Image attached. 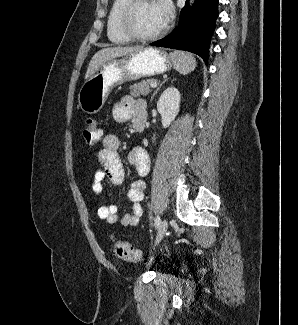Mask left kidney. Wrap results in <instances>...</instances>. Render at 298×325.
<instances>
[{"label": "left kidney", "mask_w": 298, "mask_h": 325, "mask_svg": "<svg viewBox=\"0 0 298 325\" xmlns=\"http://www.w3.org/2000/svg\"><path fill=\"white\" fill-rule=\"evenodd\" d=\"M181 104L180 90L176 86H168L163 90L159 100H157V110L161 114V122L164 128L170 126L175 120Z\"/></svg>", "instance_id": "left-kidney-1"}]
</instances>
